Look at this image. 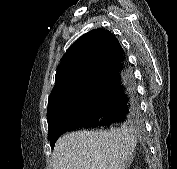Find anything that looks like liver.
Segmentation results:
<instances>
[{"label":"liver","mask_w":177,"mask_h":169,"mask_svg":"<svg viewBox=\"0 0 177 169\" xmlns=\"http://www.w3.org/2000/svg\"><path fill=\"white\" fill-rule=\"evenodd\" d=\"M137 144L129 127L68 133L55 144L53 169H127Z\"/></svg>","instance_id":"6515ba94"}]
</instances>
